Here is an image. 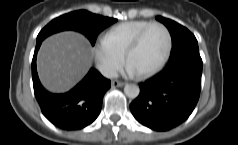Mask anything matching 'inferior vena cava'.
<instances>
[{
    "label": "inferior vena cava",
    "instance_id": "1",
    "mask_svg": "<svg viewBox=\"0 0 238 145\" xmlns=\"http://www.w3.org/2000/svg\"><path fill=\"white\" fill-rule=\"evenodd\" d=\"M99 71L106 78H116L118 76L116 69L110 66H101Z\"/></svg>",
    "mask_w": 238,
    "mask_h": 145
}]
</instances>
